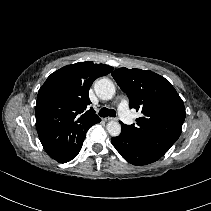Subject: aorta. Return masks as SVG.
Returning a JSON list of instances; mask_svg holds the SVG:
<instances>
[{"label":"aorta","instance_id":"aorta-1","mask_svg":"<svg viewBox=\"0 0 211 211\" xmlns=\"http://www.w3.org/2000/svg\"><path fill=\"white\" fill-rule=\"evenodd\" d=\"M94 90L96 95L102 100H110L115 94V86L113 82L107 78L96 81ZM106 129L111 136H119L121 133V125L116 121L108 122Z\"/></svg>","mask_w":211,"mask_h":211}]
</instances>
